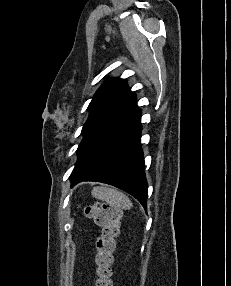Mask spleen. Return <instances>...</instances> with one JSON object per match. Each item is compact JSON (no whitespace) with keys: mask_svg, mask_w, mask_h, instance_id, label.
<instances>
[{"mask_svg":"<svg viewBox=\"0 0 231 286\" xmlns=\"http://www.w3.org/2000/svg\"><path fill=\"white\" fill-rule=\"evenodd\" d=\"M91 193L93 197L105 201L117 208L128 210L133 206L128 196L114 188L94 187Z\"/></svg>","mask_w":231,"mask_h":286,"instance_id":"spleen-1","label":"spleen"}]
</instances>
